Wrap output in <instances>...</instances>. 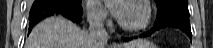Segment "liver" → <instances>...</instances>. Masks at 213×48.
I'll use <instances>...</instances> for the list:
<instances>
[{"mask_svg": "<svg viewBox=\"0 0 213 48\" xmlns=\"http://www.w3.org/2000/svg\"><path fill=\"white\" fill-rule=\"evenodd\" d=\"M142 40L123 45L132 48ZM88 33L68 19L58 16L45 19L36 25L26 39L25 48H93Z\"/></svg>", "mask_w": 213, "mask_h": 48, "instance_id": "obj_1", "label": "liver"}]
</instances>
